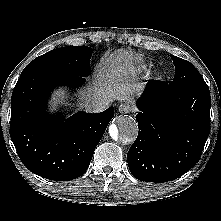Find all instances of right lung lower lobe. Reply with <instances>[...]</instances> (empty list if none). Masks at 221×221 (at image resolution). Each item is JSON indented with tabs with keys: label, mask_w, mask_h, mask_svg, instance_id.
<instances>
[{
	"label": "right lung lower lobe",
	"mask_w": 221,
	"mask_h": 221,
	"mask_svg": "<svg viewBox=\"0 0 221 221\" xmlns=\"http://www.w3.org/2000/svg\"><path fill=\"white\" fill-rule=\"evenodd\" d=\"M83 82L82 76L38 71L18 79L11 97L10 137L31 172L50 180L68 181L88 169L114 108L96 114L78 112L66 120L46 112L54 87Z\"/></svg>",
	"instance_id": "98d812e1"
}]
</instances>
